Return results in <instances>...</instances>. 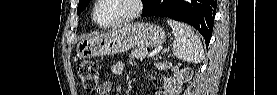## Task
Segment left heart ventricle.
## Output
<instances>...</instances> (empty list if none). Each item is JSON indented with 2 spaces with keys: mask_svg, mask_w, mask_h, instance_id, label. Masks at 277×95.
Instances as JSON below:
<instances>
[{
  "mask_svg": "<svg viewBox=\"0 0 277 95\" xmlns=\"http://www.w3.org/2000/svg\"><path fill=\"white\" fill-rule=\"evenodd\" d=\"M131 9L127 0H103L97 9V15L102 22H109L128 15Z\"/></svg>",
  "mask_w": 277,
  "mask_h": 95,
  "instance_id": "left-heart-ventricle-1",
  "label": "left heart ventricle"
}]
</instances>
